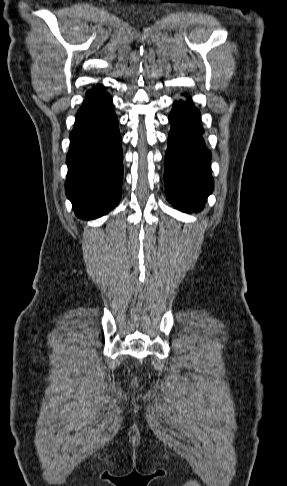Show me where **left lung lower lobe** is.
Masks as SVG:
<instances>
[{"label":"left lung lower lobe","instance_id":"1","mask_svg":"<svg viewBox=\"0 0 287 486\" xmlns=\"http://www.w3.org/2000/svg\"><path fill=\"white\" fill-rule=\"evenodd\" d=\"M169 121L164 173L167 199L181 211H197L212 193L214 182L200 112L189 95L185 101L174 102Z\"/></svg>","mask_w":287,"mask_h":486}]
</instances>
